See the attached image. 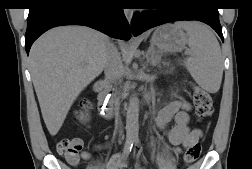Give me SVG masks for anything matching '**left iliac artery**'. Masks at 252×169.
Here are the masks:
<instances>
[{"instance_id": "left-iliac-artery-1", "label": "left iliac artery", "mask_w": 252, "mask_h": 169, "mask_svg": "<svg viewBox=\"0 0 252 169\" xmlns=\"http://www.w3.org/2000/svg\"><path fill=\"white\" fill-rule=\"evenodd\" d=\"M135 143H136L137 145H139V140H138V139H135Z\"/></svg>"}]
</instances>
